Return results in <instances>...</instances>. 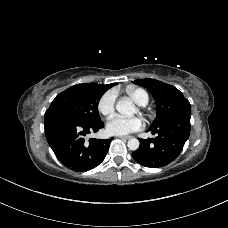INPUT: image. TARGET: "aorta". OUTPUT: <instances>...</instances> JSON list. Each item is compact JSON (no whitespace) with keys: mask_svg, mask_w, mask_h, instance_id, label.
<instances>
[{"mask_svg":"<svg viewBox=\"0 0 228 228\" xmlns=\"http://www.w3.org/2000/svg\"><path fill=\"white\" fill-rule=\"evenodd\" d=\"M116 110L125 116H132L135 113V107L131 100L125 98L120 100L116 104ZM139 140L136 138H132L128 141V148L132 151H135L139 148Z\"/></svg>","mask_w":228,"mask_h":228,"instance_id":"762f6f07","label":"aorta"}]
</instances>
